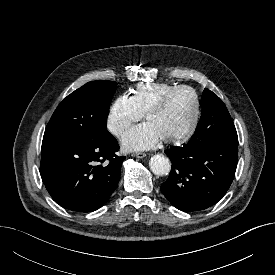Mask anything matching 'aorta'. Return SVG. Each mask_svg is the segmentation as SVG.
Instances as JSON below:
<instances>
[{
    "mask_svg": "<svg viewBox=\"0 0 275 275\" xmlns=\"http://www.w3.org/2000/svg\"><path fill=\"white\" fill-rule=\"evenodd\" d=\"M149 166L151 171L155 175L159 176L167 175L171 170L170 160L162 154H156L152 156L149 162Z\"/></svg>",
    "mask_w": 275,
    "mask_h": 275,
    "instance_id": "762f6f07",
    "label": "aorta"
}]
</instances>
